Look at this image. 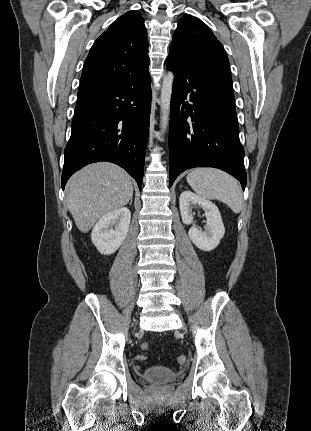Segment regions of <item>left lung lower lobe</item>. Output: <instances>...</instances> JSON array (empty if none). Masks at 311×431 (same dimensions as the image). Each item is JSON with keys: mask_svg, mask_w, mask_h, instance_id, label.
I'll use <instances>...</instances> for the list:
<instances>
[{"mask_svg": "<svg viewBox=\"0 0 311 431\" xmlns=\"http://www.w3.org/2000/svg\"><path fill=\"white\" fill-rule=\"evenodd\" d=\"M174 72L169 128V181L193 167H214L247 176L239 141L232 81L195 72L167 59Z\"/></svg>", "mask_w": 311, "mask_h": 431, "instance_id": "obj_1", "label": "left lung lower lobe"}]
</instances>
